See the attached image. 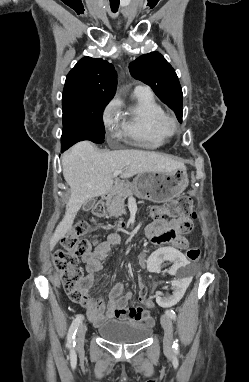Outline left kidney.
<instances>
[{
    "mask_svg": "<svg viewBox=\"0 0 249 382\" xmlns=\"http://www.w3.org/2000/svg\"><path fill=\"white\" fill-rule=\"evenodd\" d=\"M138 264L139 267H148L149 273H157L158 277H162L163 286L153 294L157 307H175L176 302L182 301L189 284H193V277H196V270H181L189 261L182 250H177L176 245H167L146 260H139Z\"/></svg>",
    "mask_w": 249,
    "mask_h": 382,
    "instance_id": "obj_1",
    "label": "left kidney"
}]
</instances>
